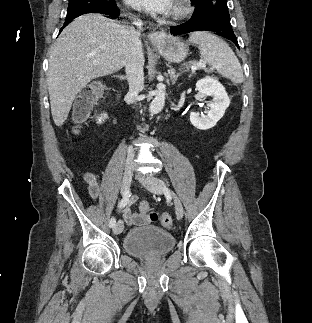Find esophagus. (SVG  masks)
Here are the masks:
<instances>
[{"label":"esophagus","instance_id":"1","mask_svg":"<svg viewBox=\"0 0 312 323\" xmlns=\"http://www.w3.org/2000/svg\"><path fill=\"white\" fill-rule=\"evenodd\" d=\"M148 38L154 46H158L167 39V34L163 30H157L150 33Z\"/></svg>","mask_w":312,"mask_h":323}]
</instances>
